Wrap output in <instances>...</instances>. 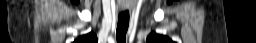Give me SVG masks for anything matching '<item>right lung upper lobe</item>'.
<instances>
[{
  "label": "right lung upper lobe",
  "instance_id": "1",
  "mask_svg": "<svg viewBox=\"0 0 256 43\" xmlns=\"http://www.w3.org/2000/svg\"><path fill=\"white\" fill-rule=\"evenodd\" d=\"M97 42H98V39L93 32H90L87 35H83L74 41V43H97Z\"/></svg>",
  "mask_w": 256,
  "mask_h": 43
}]
</instances>
